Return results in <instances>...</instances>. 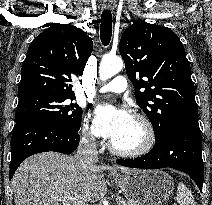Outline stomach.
I'll return each instance as SVG.
<instances>
[{"label":"stomach","instance_id":"stomach-1","mask_svg":"<svg viewBox=\"0 0 212 205\" xmlns=\"http://www.w3.org/2000/svg\"><path fill=\"white\" fill-rule=\"evenodd\" d=\"M117 186L133 205H161L171 195L174 182L161 170H131L114 176Z\"/></svg>","mask_w":212,"mask_h":205}]
</instances>
